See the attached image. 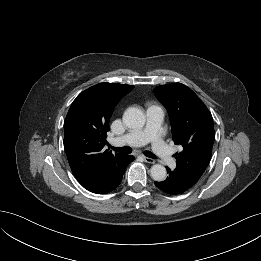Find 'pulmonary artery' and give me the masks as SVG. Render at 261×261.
Here are the masks:
<instances>
[{
    "label": "pulmonary artery",
    "mask_w": 261,
    "mask_h": 261,
    "mask_svg": "<svg viewBox=\"0 0 261 261\" xmlns=\"http://www.w3.org/2000/svg\"><path fill=\"white\" fill-rule=\"evenodd\" d=\"M164 111L159 106H151L147 109V123L143 129L129 132L113 140L114 145L142 146L148 142L152 143L154 153L167 166H173L175 160L167 144L160 137L161 124Z\"/></svg>",
    "instance_id": "pulmonary-artery-1"
}]
</instances>
